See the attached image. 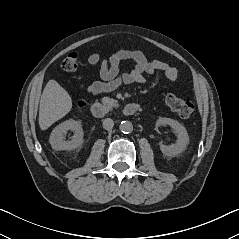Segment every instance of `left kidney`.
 <instances>
[{
	"label": "left kidney",
	"mask_w": 239,
	"mask_h": 239,
	"mask_svg": "<svg viewBox=\"0 0 239 239\" xmlns=\"http://www.w3.org/2000/svg\"><path fill=\"white\" fill-rule=\"evenodd\" d=\"M161 125H169L177 134L174 144L164 145L160 143L161 152L167 157H174L184 152L189 144L186 128L174 119L163 117H160L156 122V126Z\"/></svg>",
	"instance_id": "left-kidney-1"
}]
</instances>
